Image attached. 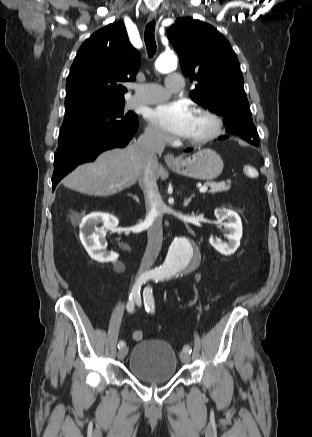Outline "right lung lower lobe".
I'll use <instances>...</instances> for the list:
<instances>
[{"label": "right lung lower lobe", "instance_id": "right-lung-lower-lobe-1", "mask_svg": "<svg viewBox=\"0 0 312 437\" xmlns=\"http://www.w3.org/2000/svg\"><path fill=\"white\" fill-rule=\"evenodd\" d=\"M137 128L138 121L122 129L97 133L58 146L54 156L52 190L54 191L58 182L78 165L93 161L105 150L126 146Z\"/></svg>", "mask_w": 312, "mask_h": 437}]
</instances>
